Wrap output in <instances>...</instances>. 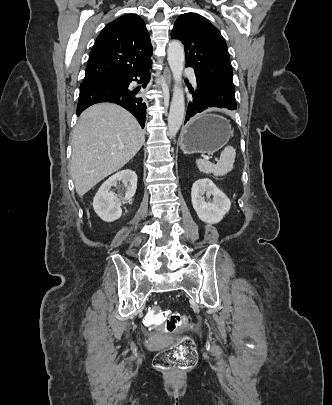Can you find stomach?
Masks as SVG:
<instances>
[{
    "instance_id": "stomach-1",
    "label": "stomach",
    "mask_w": 332,
    "mask_h": 405,
    "mask_svg": "<svg viewBox=\"0 0 332 405\" xmlns=\"http://www.w3.org/2000/svg\"><path fill=\"white\" fill-rule=\"evenodd\" d=\"M231 134L225 118L206 111L189 121L180 138V148L188 154H212L228 143Z\"/></svg>"
}]
</instances>
